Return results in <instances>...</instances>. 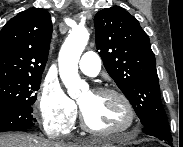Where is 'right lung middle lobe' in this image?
<instances>
[{"label":"right lung middle lobe","mask_w":183,"mask_h":147,"mask_svg":"<svg viewBox=\"0 0 183 147\" xmlns=\"http://www.w3.org/2000/svg\"><path fill=\"white\" fill-rule=\"evenodd\" d=\"M40 82L41 75L0 80V107L33 105Z\"/></svg>","instance_id":"right-lung-middle-lobe-1"}]
</instances>
